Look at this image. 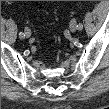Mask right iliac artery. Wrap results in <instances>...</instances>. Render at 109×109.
Wrapping results in <instances>:
<instances>
[{"mask_svg": "<svg viewBox=\"0 0 109 109\" xmlns=\"http://www.w3.org/2000/svg\"><path fill=\"white\" fill-rule=\"evenodd\" d=\"M24 36H25L24 33H22V32L19 33L20 38H24Z\"/></svg>", "mask_w": 109, "mask_h": 109, "instance_id": "right-iliac-artery-1", "label": "right iliac artery"}]
</instances>
